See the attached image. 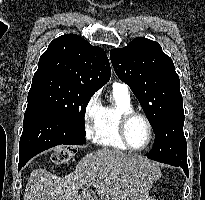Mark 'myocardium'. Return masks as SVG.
I'll return each mask as SVG.
<instances>
[{
    "label": "myocardium",
    "instance_id": "1",
    "mask_svg": "<svg viewBox=\"0 0 205 200\" xmlns=\"http://www.w3.org/2000/svg\"><path fill=\"white\" fill-rule=\"evenodd\" d=\"M135 117H140L142 118L145 123L147 124L148 127V131H149V136H148V140L146 142L145 145H143L142 147H134L130 144L129 140H128V136H127V128L128 125L130 123V121L135 118ZM118 132L120 135V138L122 140V142L125 144V146L132 150V151H143L146 148L149 147V145L151 144L152 140H153V126L152 123L150 121V119L142 112L136 111V110H131V111H127L124 112L120 118H119V122H118Z\"/></svg>",
    "mask_w": 205,
    "mask_h": 200
}]
</instances>
